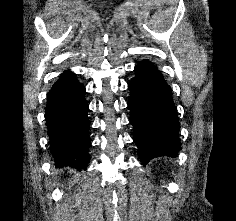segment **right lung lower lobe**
I'll list each match as a JSON object with an SVG mask.
<instances>
[{"label":"right lung lower lobe","instance_id":"obj_1","mask_svg":"<svg viewBox=\"0 0 236 221\" xmlns=\"http://www.w3.org/2000/svg\"><path fill=\"white\" fill-rule=\"evenodd\" d=\"M84 94L85 87L75 74L65 71L47 95L45 119L51 153L59 167H87L90 124Z\"/></svg>","mask_w":236,"mask_h":221}]
</instances>
